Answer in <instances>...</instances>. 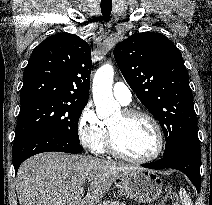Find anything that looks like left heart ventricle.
<instances>
[{
  "label": "left heart ventricle",
  "instance_id": "1",
  "mask_svg": "<svg viewBox=\"0 0 212 205\" xmlns=\"http://www.w3.org/2000/svg\"><path fill=\"white\" fill-rule=\"evenodd\" d=\"M108 126L119 149L129 156H146L155 148L153 128L142 117L127 118L121 112L108 122Z\"/></svg>",
  "mask_w": 212,
  "mask_h": 205
}]
</instances>
